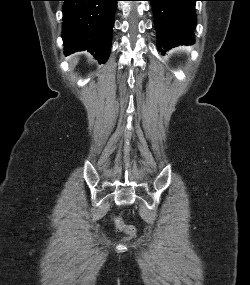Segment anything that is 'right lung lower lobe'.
I'll return each instance as SVG.
<instances>
[{
	"label": "right lung lower lobe",
	"mask_w": 250,
	"mask_h": 285,
	"mask_svg": "<svg viewBox=\"0 0 250 285\" xmlns=\"http://www.w3.org/2000/svg\"><path fill=\"white\" fill-rule=\"evenodd\" d=\"M62 1L65 55L87 50L94 54L100 63H105L110 53L118 0Z\"/></svg>",
	"instance_id": "obj_1"
}]
</instances>
